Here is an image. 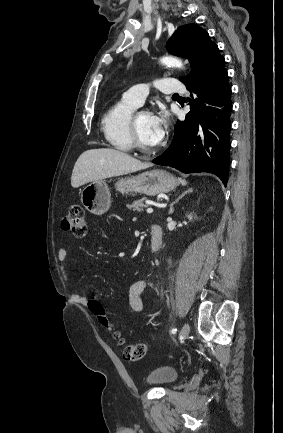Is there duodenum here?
I'll return each instance as SVG.
<instances>
[{"label":"duodenum","mask_w":283,"mask_h":433,"mask_svg":"<svg viewBox=\"0 0 283 433\" xmlns=\"http://www.w3.org/2000/svg\"><path fill=\"white\" fill-rule=\"evenodd\" d=\"M151 249L153 253H158L162 247L163 233L162 228L155 224L150 227Z\"/></svg>","instance_id":"1"}]
</instances>
